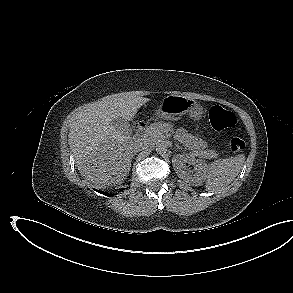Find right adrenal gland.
Instances as JSON below:
<instances>
[{
  "mask_svg": "<svg viewBox=\"0 0 293 293\" xmlns=\"http://www.w3.org/2000/svg\"><path fill=\"white\" fill-rule=\"evenodd\" d=\"M135 156V153L132 155V158Z\"/></svg>",
  "mask_w": 293,
  "mask_h": 293,
  "instance_id": "2a0ac1e0",
  "label": "right adrenal gland"
}]
</instances>
